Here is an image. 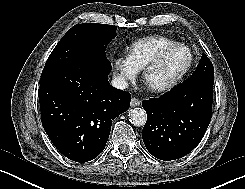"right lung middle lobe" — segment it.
Wrapping results in <instances>:
<instances>
[{"mask_svg":"<svg viewBox=\"0 0 245 189\" xmlns=\"http://www.w3.org/2000/svg\"><path fill=\"white\" fill-rule=\"evenodd\" d=\"M113 25L84 23L73 26L47 59L40 84L49 82L88 56H106V47L117 35Z\"/></svg>","mask_w":245,"mask_h":189,"instance_id":"dd1d6c3e","label":"right lung middle lobe"}]
</instances>
